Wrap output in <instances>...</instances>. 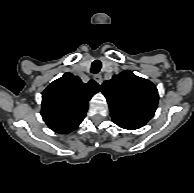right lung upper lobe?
<instances>
[{"mask_svg":"<svg viewBox=\"0 0 194 193\" xmlns=\"http://www.w3.org/2000/svg\"><path fill=\"white\" fill-rule=\"evenodd\" d=\"M100 91V85L90 80L84 84L79 77L65 73L42 93L41 115L55 132L66 134L83 121L88 101Z\"/></svg>","mask_w":194,"mask_h":193,"instance_id":"cb5924a9","label":"right lung upper lobe"}]
</instances>
